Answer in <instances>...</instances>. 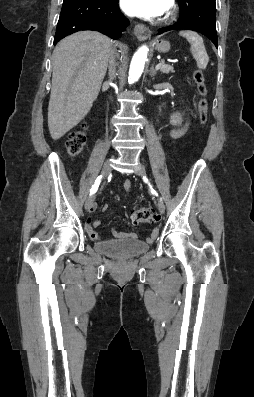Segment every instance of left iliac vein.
<instances>
[{
    "mask_svg": "<svg viewBox=\"0 0 254 397\" xmlns=\"http://www.w3.org/2000/svg\"><path fill=\"white\" fill-rule=\"evenodd\" d=\"M134 173H135L136 175H138V176L144 175V174H145V168H144V166H143L142 164H139V165L135 168ZM158 210H159V212H160L161 214H163V213L165 212V205H164V203H163L161 200L158 201Z\"/></svg>",
    "mask_w": 254,
    "mask_h": 397,
    "instance_id": "1",
    "label": "left iliac vein"
}]
</instances>
